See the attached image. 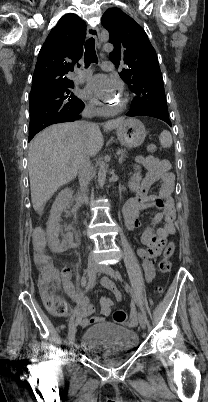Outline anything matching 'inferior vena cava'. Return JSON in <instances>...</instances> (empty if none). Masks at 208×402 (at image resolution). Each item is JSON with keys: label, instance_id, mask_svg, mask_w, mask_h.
<instances>
[{"label": "inferior vena cava", "instance_id": "inferior-vena-cava-1", "mask_svg": "<svg viewBox=\"0 0 208 402\" xmlns=\"http://www.w3.org/2000/svg\"><path fill=\"white\" fill-rule=\"evenodd\" d=\"M82 116H84V118H92L93 116L92 106H86V108H84L82 112ZM78 126L80 130H87V128H90L92 124H86V122H78ZM77 164L79 170L78 172L79 184L83 192L81 196V202H87L88 198L86 194H84V192L85 190H87L88 184L94 174L93 170H91L90 156L87 146H83V148L79 150L77 156Z\"/></svg>", "mask_w": 208, "mask_h": 402}]
</instances>
